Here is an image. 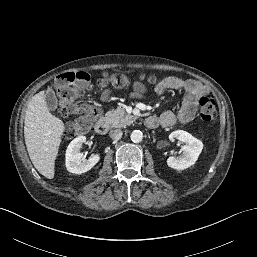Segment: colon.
Returning <instances> with one entry per match:
<instances>
[{
	"instance_id": "colon-1",
	"label": "colon",
	"mask_w": 257,
	"mask_h": 257,
	"mask_svg": "<svg viewBox=\"0 0 257 257\" xmlns=\"http://www.w3.org/2000/svg\"><path fill=\"white\" fill-rule=\"evenodd\" d=\"M139 80H146L150 84L160 81L154 75H140ZM100 84H112L115 87H125L130 78L121 73H104L98 80ZM55 90L59 97V110L63 116L76 114L78 117L69 122L64 129L67 139L91 131L102 117L101 109L92 103L81 102L79 99L92 88L91 77L88 73L66 72L55 80ZM200 117L203 121L213 124L216 119V102L212 96H202L199 99Z\"/></svg>"
}]
</instances>
